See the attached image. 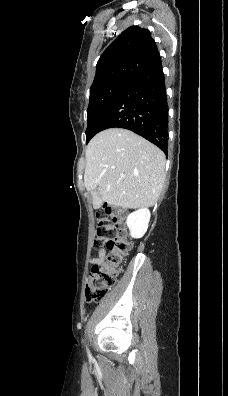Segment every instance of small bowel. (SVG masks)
<instances>
[{
    "label": "small bowel",
    "mask_w": 228,
    "mask_h": 396,
    "mask_svg": "<svg viewBox=\"0 0 228 396\" xmlns=\"http://www.w3.org/2000/svg\"><path fill=\"white\" fill-rule=\"evenodd\" d=\"M104 255H105V250H104V249H101V250L99 251V253H98V256L92 258V259L90 260V263H91V264H97V263H99V262L102 260V258L104 257Z\"/></svg>",
    "instance_id": "1"
}]
</instances>
